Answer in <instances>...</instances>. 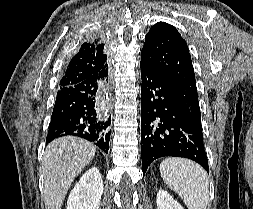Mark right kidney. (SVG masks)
<instances>
[{
    "mask_svg": "<svg viewBox=\"0 0 253 209\" xmlns=\"http://www.w3.org/2000/svg\"><path fill=\"white\" fill-rule=\"evenodd\" d=\"M103 180L97 167L86 171L67 200V209H99Z\"/></svg>",
    "mask_w": 253,
    "mask_h": 209,
    "instance_id": "right-kidney-1",
    "label": "right kidney"
}]
</instances>
